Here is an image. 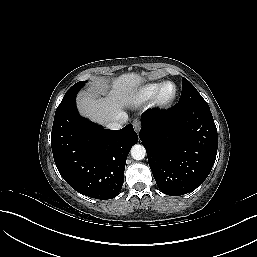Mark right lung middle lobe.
Masks as SVG:
<instances>
[{
  "instance_id": "dd1d6c3e",
  "label": "right lung middle lobe",
  "mask_w": 257,
  "mask_h": 257,
  "mask_svg": "<svg viewBox=\"0 0 257 257\" xmlns=\"http://www.w3.org/2000/svg\"><path fill=\"white\" fill-rule=\"evenodd\" d=\"M86 83V81H80L74 84L64 95L61 103L56 109V113L66 109L67 107L71 106L75 103V97L80 90V88Z\"/></svg>"
}]
</instances>
